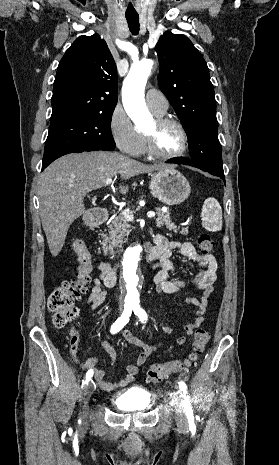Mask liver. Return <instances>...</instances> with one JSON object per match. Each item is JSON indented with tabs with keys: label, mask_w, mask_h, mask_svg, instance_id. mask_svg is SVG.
Instances as JSON below:
<instances>
[{
	"label": "liver",
	"mask_w": 279,
	"mask_h": 465,
	"mask_svg": "<svg viewBox=\"0 0 279 465\" xmlns=\"http://www.w3.org/2000/svg\"><path fill=\"white\" fill-rule=\"evenodd\" d=\"M163 168L167 166L148 165L106 151L72 153L52 162L38 183L40 218L52 256L62 250L70 225L85 213L83 201L87 193L102 188L117 174L129 179ZM119 190L126 194L128 186L121 185Z\"/></svg>",
	"instance_id": "liver-1"
}]
</instances>
